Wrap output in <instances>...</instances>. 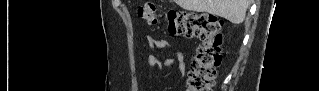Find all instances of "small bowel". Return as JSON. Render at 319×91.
Returning <instances> with one entry per match:
<instances>
[{"instance_id": "c3829d8e", "label": "small bowel", "mask_w": 319, "mask_h": 91, "mask_svg": "<svg viewBox=\"0 0 319 91\" xmlns=\"http://www.w3.org/2000/svg\"><path fill=\"white\" fill-rule=\"evenodd\" d=\"M148 46L151 49H167L170 50V56L164 61H160L155 55H148L145 58V65L149 68H160L164 66H176L180 74L186 72V65L184 62V55L182 52L173 51L172 43L167 39H158L153 36H147L146 38Z\"/></svg>"}]
</instances>
